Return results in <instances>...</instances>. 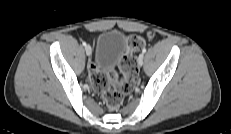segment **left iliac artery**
I'll return each instance as SVG.
<instances>
[{
    "mask_svg": "<svg viewBox=\"0 0 231 134\" xmlns=\"http://www.w3.org/2000/svg\"><path fill=\"white\" fill-rule=\"evenodd\" d=\"M146 52V48H143L142 49V53L144 54Z\"/></svg>",
    "mask_w": 231,
    "mask_h": 134,
    "instance_id": "44dca946",
    "label": "left iliac artery"
}]
</instances>
